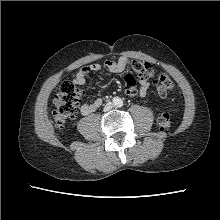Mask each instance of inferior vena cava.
Listing matches in <instances>:
<instances>
[{
	"instance_id": "obj_1",
	"label": "inferior vena cava",
	"mask_w": 220,
	"mask_h": 220,
	"mask_svg": "<svg viewBox=\"0 0 220 220\" xmlns=\"http://www.w3.org/2000/svg\"><path fill=\"white\" fill-rule=\"evenodd\" d=\"M112 107H113V104L111 102H108L104 107V111L107 112V111L111 110Z\"/></svg>"
}]
</instances>
